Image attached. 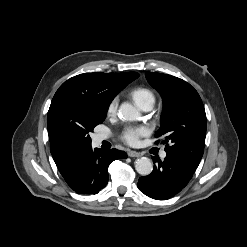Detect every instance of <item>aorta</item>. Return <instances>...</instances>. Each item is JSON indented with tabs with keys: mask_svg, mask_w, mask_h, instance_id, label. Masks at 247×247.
<instances>
[{
	"mask_svg": "<svg viewBox=\"0 0 247 247\" xmlns=\"http://www.w3.org/2000/svg\"><path fill=\"white\" fill-rule=\"evenodd\" d=\"M119 116L126 121H137L140 118V113L133 105L122 103L119 108ZM135 169L142 176L149 175L153 170L152 161L147 157H142L136 161Z\"/></svg>",
	"mask_w": 247,
	"mask_h": 247,
	"instance_id": "1",
	"label": "aorta"
}]
</instances>
